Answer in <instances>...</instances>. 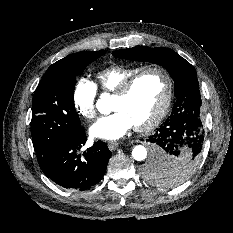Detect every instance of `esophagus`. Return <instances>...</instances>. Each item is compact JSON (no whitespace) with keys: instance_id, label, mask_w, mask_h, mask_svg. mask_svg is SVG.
Returning a JSON list of instances; mask_svg holds the SVG:
<instances>
[{"instance_id":"esophagus-1","label":"esophagus","mask_w":233,"mask_h":233,"mask_svg":"<svg viewBox=\"0 0 233 233\" xmlns=\"http://www.w3.org/2000/svg\"><path fill=\"white\" fill-rule=\"evenodd\" d=\"M119 143L117 141L108 142V147L110 151H114L118 147Z\"/></svg>"}]
</instances>
